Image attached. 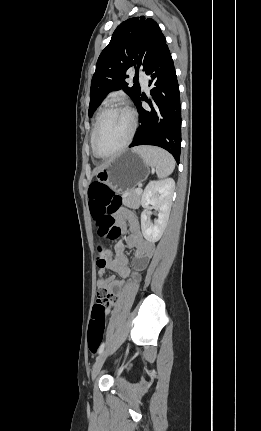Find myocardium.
<instances>
[{"instance_id": "1", "label": "myocardium", "mask_w": 261, "mask_h": 431, "mask_svg": "<svg viewBox=\"0 0 261 431\" xmlns=\"http://www.w3.org/2000/svg\"><path fill=\"white\" fill-rule=\"evenodd\" d=\"M115 108H121V109L125 110L128 113V115L130 117V121H131L130 131H129V134H128L126 140L124 141V143L118 149H116L115 151H113V152H111L109 154H102L99 151L98 146H97L98 133H99V130H100L103 118L106 115V113L109 112L112 109H115ZM136 128H137L136 114H135L134 110L130 106H128L127 104L122 103V102H115V103L109 104L104 109H102V111L99 113L97 121H96V124H95L94 132H93V138H92V148H93L94 154L97 157H99V158L106 159V158H110V157H113V156L121 153L131 143V141H132V139L134 137Z\"/></svg>"}]
</instances>
